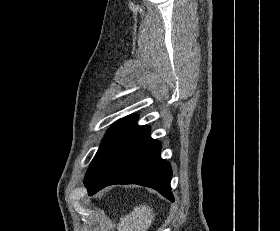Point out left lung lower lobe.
Listing matches in <instances>:
<instances>
[{
    "label": "left lung lower lobe",
    "instance_id": "0a47b994",
    "mask_svg": "<svg viewBox=\"0 0 280 231\" xmlns=\"http://www.w3.org/2000/svg\"><path fill=\"white\" fill-rule=\"evenodd\" d=\"M149 133L148 126L132 123L102 146L85 176L90 196L112 184H139L154 188L174 202L170 164L160 158L161 143Z\"/></svg>",
    "mask_w": 280,
    "mask_h": 231
}]
</instances>
